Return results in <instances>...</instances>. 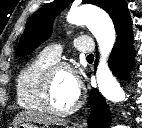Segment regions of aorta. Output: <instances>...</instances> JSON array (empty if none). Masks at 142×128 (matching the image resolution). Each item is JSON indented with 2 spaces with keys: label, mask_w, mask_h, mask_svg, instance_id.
Segmentation results:
<instances>
[{
  "label": "aorta",
  "mask_w": 142,
  "mask_h": 128,
  "mask_svg": "<svg viewBox=\"0 0 142 128\" xmlns=\"http://www.w3.org/2000/svg\"><path fill=\"white\" fill-rule=\"evenodd\" d=\"M67 21L71 24L86 25L98 42L100 60L96 71V79L102 96L115 103L124 101L125 92L107 64L109 54L116 40L115 28L110 17L99 9L80 6L69 11Z\"/></svg>",
  "instance_id": "aorta-1"
}]
</instances>
